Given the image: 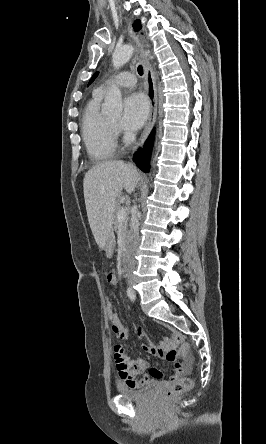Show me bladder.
<instances>
[{"label": "bladder", "mask_w": 266, "mask_h": 444, "mask_svg": "<svg viewBox=\"0 0 266 444\" xmlns=\"http://www.w3.org/2000/svg\"><path fill=\"white\" fill-rule=\"evenodd\" d=\"M155 387V383H151L140 390H133L121 386L119 387V393L122 397L128 400L141 402L147 399L152 394Z\"/></svg>", "instance_id": "bladder-1"}]
</instances>
